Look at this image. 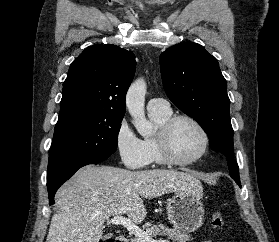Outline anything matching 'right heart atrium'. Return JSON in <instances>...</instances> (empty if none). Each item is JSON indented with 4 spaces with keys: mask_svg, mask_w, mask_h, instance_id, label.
<instances>
[{
    "mask_svg": "<svg viewBox=\"0 0 279 242\" xmlns=\"http://www.w3.org/2000/svg\"><path fill=\"white\" fill-rule=\"evenodd\" d=\"M115 147L121 162L129 169H140L150 162L143 140L126 119L121 120L116 129Z\"/></svg>",
    "mask_w": 279,
    "mask_h": 242,
    "instance_id": "right-heart-atrium-1",
    "label": "right heart atrium"
}]
</instances>
